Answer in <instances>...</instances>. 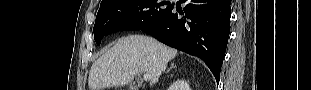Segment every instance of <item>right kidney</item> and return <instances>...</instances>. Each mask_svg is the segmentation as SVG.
Returning a JSON list of instances; mask_svg holds the SVG:
<instances>
[{"instance_id":"ca27d5eb","label":"right kidney","mask_w":311,"mask_h":90,"mask_svg":"<svg viewBox=\"0 0 311 90\" xmlns=\"http://www.w3.org/2000/svg\"><path fill=\"white\" fill-rule=\"evenodd\" d=\"M176 88L179 90H190L188 83L183 80L180 82H177Z\"/></svg>"}]
</instances>
